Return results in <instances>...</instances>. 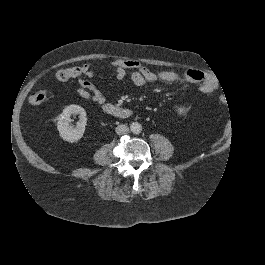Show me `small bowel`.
Returning <instances> with one entry per match:
<instances>
[{
  "instance_id": "obj_1",
  "label": "small bowel",
  "mask_w": 265,
  "mask_h": 265,
  "mask_svg": "<svg viewBox=\"0 0 265 265\" xmlns=\"http://www.w3.org/2000/svg\"><path fill=\"white\" fill-rule=\"evenodd\" d=\"M85 69L82 76L77 77L78 86L75 91L77 95L85 100H92L98 104H104L106 99L102 91L90 81L95 76L90 64L82 65ZM114 71L117 80H123L127 71L132 70L131 81L134 85L141 87L150 82L163 81L166 83L187 84L193 83L199 86L202 93L208 94L213 92L217 83L215 80L201 71L187 70L176 72L172 70H151L138 61L117 59L109 63Z\"/></svg>"
}]
</instances>
